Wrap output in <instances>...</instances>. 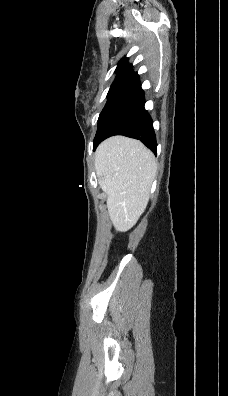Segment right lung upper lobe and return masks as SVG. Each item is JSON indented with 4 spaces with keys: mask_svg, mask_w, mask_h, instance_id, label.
<instances>
[{
    "mask_svg": "<svg viewBox=\"0 0 228 396\" xmlns=\"http://www.w3.org/2000/svg\"><path fill=\"white\" fill-rule=\"evenodd\" d=\"M128 59L123 58L117 66V76L111 86L128 87L139 80L137 73L132 71V65L127 64Z\"/></svg>",
    "mask_w": 228,
    "mask_h": 396,
    "instance_id": "cb5924a9",
    "label": "right lung upper lobe"
}]
</instances>
